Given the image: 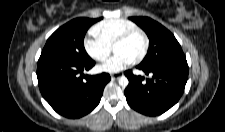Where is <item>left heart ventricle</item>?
Returning <instances> with one entry per match:
<instances>
[{"instance_id":"obj_1","label":"left heart ventricle","mask_w":225,"mask_h":132,"mask_svg":"<svg viewBox=\"0 0 225 132\" xmlns=\"http://www.w3.org/2000/svg\"><path fill=\"white\" fill-rule=\"evenodd\" d=\"M144 48V40L141 35L135 34L126 42L118 45L115 48V53H124L132 60L137 58Z\"/></svg>"}]
</instances>
